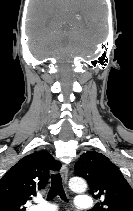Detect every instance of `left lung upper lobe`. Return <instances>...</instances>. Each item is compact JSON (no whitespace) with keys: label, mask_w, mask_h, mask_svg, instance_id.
I'll return each mask as SVG.
<instances>
[{"label":"left lung upper lobe","mask_w":133,"mask_h":211,"mask_svg":"<svg viewBox=\"0 0 133 211\" xmlns=\"http://www.w3.org/2000/svg\"><path fill=\"white\" fill-rule=\"evenodd\" d=\"M75 169L76 175L87 180L93 198L100 200L92 211H133V190L106 156L88 151Z\"/></svg>","instance_id":"left-lung-upper-lobe-1"}]
</instances>
